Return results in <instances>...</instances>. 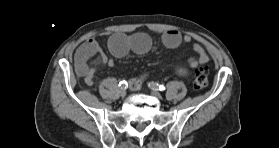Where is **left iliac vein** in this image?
<instances>
[{"mask_svg": "<svg viewBox=\"0 0 279 148\" xmlns=\"http://www.w3.org/2000/svg\"><path fill=\"white\" fill-rule=\"evenodd\" d=\"M152 96H154L157 99H161L162 96L158 91H151Z\"/></svg>", "mask_w": 279, "mask_h": 148, "instance_id": "left-iliac-vein-1", "label": "left iliac vein"}]
</instances>
